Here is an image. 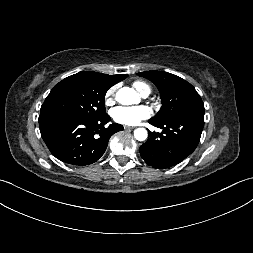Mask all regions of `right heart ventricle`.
Segmentation results:
<instances>
[{"instance_id":"1","label":"right heart ventricle","mask_w":253,"mask_h":253,"mask_svg":"<svg viewBox=\"0 0 253 253\" xmlns=\"http://www.w3.org/2000/svg\"><path fill=\"white\" fill-rule=\"evenodd\" d=\"M132 85L141 95L151 92V86L143 80H135Z\"/></svg>"}]
</instances>
